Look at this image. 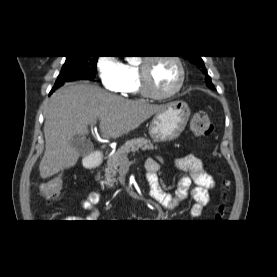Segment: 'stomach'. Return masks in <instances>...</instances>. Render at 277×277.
Segmentation results:
<instances>
[{
  "label": "stomach",
  "mask_w": 277,
  "mask_h": 277,
  "mask_svg": "<svg viewBox=\"0 0 277 277\" xmlns=\"http://www.w3.org/2000/svg\"><path fill=\"white\" fill-rule=\"evenodd\" d=\"M190 109L184 101H173L163 105V108L152 118L149 135L154 142H166L177 139L185 129L190 118Z\"/></svg>",
  "instance_id": "0dacf381"
}]
</instances>
